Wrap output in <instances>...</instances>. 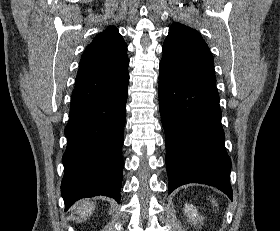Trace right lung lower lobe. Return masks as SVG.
Here are the masks:
<instances>
[{
    "label": "right lung lower lobe",
    "mask_w": 280,
    "mask_h": 231,
    "mask_svg": "<svg viewBox=\"0 0 280 231\" xmlns=\"http://www.w3.org/2000/svg\"><path fill=\"white\" fill-rule=\"evenodd\" d=\"M127 87L87 102L70 104L61 182L65 211L85 197L104 195L120 201Z\"/></svg>",
    "instance_id": "obj_1"
}]
</instances>
